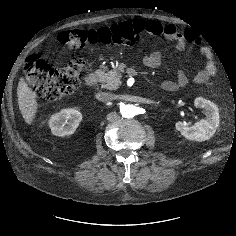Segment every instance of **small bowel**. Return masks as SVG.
Here are the masks:
<instances>
[{"label": "small bowel", "instance_id": "1", "mask_svg": "<svg viewBox=\"0 0 236 236\" xmlns=\"http://www.w3.org/2000/svg\"><path fill=\"white\" fill-rule=\"evenodd\" d=\"M145 30L153 36H163L168 40L174 41L177 48L184 49L187 45L186 34L173 24L163 25L157 20H148L144 22ZM190 40L195 44H199L196 35L189 36ZM201 55L204 59V67L195 75L194 81L198 84L207 82L210 78L216 75V66L213 61L211 52L205 48H200ZM162 61V53L154 51L143 58V62L148 67H157ZM189 82V76L184 72H179L176 80H166L163 82L162 87L166 91H176L184 88Z\"/></svg>", "mask_w": 236, "mask_h": 236}]
</instances>
